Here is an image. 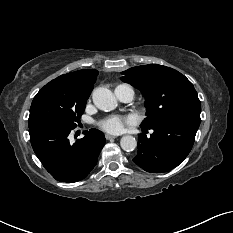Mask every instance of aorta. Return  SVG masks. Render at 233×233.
Returning <instances> with one entry per match:
<instances>
[{"label": "aorta", "instance_id": "obj_1", "mask_svg": "<svg viewBox=\"0 0 233 233\" xmlns=\"http://www.w3.org/2000/svg\"><path fill=\"white\" fill-rule=\"evenodd\" d=\"M94 105L102 111H112L117 107V99L114 94L107 88L98 87L92 93ZM121 148L124 151H133L137 146L135 137L125 135L120 140Z\"/></svg>", "mask_w": 233, "mask_h": 233}]
</instances>
